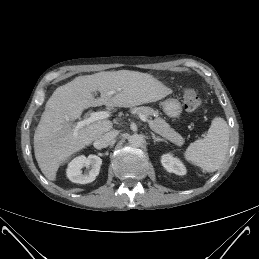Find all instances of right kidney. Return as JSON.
Segmentation results:
<instances>
[{
    "mask_svg": "<svg viewBox=\"0 0 259 259\" xmlns=\"http://www.w3.org/2000/svg\"><path fill=\"white\" fill-rule=\"evenodd\" d=\"M102 165V159L97 155H89L85 157L84 155L74 158L69 164L66 171L67 177L70 181L79 184L91 183L98 176L100 167ZM89 168L87 173H82V168Z\"/></svg>",
    "mask_w": 259,
    "mask_h": 259,
    "instance_id": "right-kidney-1",
    "label": "right kidney"
}]
</instances>
